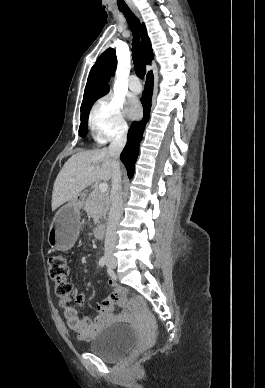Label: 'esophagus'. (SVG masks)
<instances>
[{
    "label": "esophagus",
    "instance_id": "obj_1",
    "mask_svg": "<svg viewBox=\"0 0 265 388\" xmlns=\"http://www.w3.org/2000/svg\"><path fill=\"white\" fill-rule=\"evenodd\" d=\"M133 12H134L138 17H140V15H139V13H138V11H137L136 9H133Z\"/></svg>",
    "mask_w": 265,
    "mask_h": 388
}]
</instances>
